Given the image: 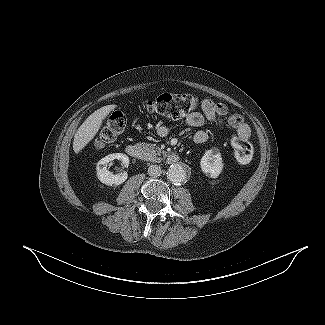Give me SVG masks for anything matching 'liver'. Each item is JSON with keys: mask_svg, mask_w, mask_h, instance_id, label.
<instances>
[{"mask_svg": "<svg viewBox=\"0 0 325 325\" xmlns=\"http://www.w3.org/2000/svg\"><path fill=\"white\" fill-rule=\"evenodd\" d=\"M117 105H107L92 113L78 128L74 136L73 150L78 154L95 137L102 126L103 120Z\"/></svg>", "mask_w": 325, "mask_h": 325, "instance_id": "obj_1", "label": "liver"}]
</instances>
